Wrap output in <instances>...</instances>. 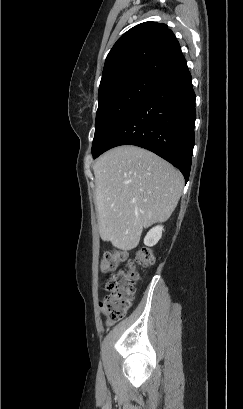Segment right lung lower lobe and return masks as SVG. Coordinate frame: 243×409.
<instances>
[{
    "instance_id": "obj_1",
    "label": "right lung lower lobe",
    "mask_w": 243,
    "mask_h": 409,
    "mask_svg": "<svg viewBox=\"0 0 243 409\" xmlns=\"http://www.w3.org/2000/svg\"><path fill=\"white\" fill-rule=\"evenodd\" d=\"M195 118L192 78L183 59L149 91L94 158L116 146L136 145L177 167L187 182L195 140Z\"/></svg>"
}]
</instances>
